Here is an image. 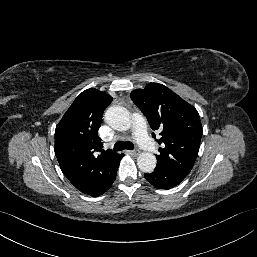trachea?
Masks as SVG:
<instances>
[{
    "mask_svg": "<svg viewBox=\"0 0 257 257\" xmlns=\"http://www.w3.org/2000/svg\"><path fill=\"white\" fill-rule=\"evenodd\" d=\"M113 149H114V151H122L124 149H126V150H133L134 149V145L130 141H118L114 145Z\"/></svg>",
    "mask_w": 257,
    "mask_h": 257,
    "instance_id": "1",
    "label": "trachea"
}]
</instances>
